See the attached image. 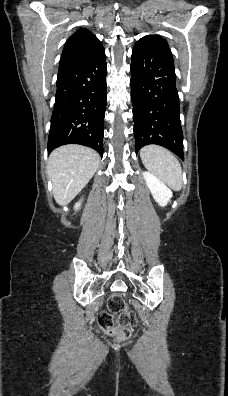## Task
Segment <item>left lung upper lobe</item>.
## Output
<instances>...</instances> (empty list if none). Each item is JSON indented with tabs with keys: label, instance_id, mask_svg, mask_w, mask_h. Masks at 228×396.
<instances>
[{
	"label": "left lung upper lobe",
	"instance_id": "1",
	"mask_svg": "<svg viewBox=\"0 0 228 396\" xmlns=\"http://www.w3.org/2000/svg\"><path fill=\"white\" fill-rule=\"evenodd\" d=\"M140 40H153V41L159 42V43H161V44H163L164 46H166V47L169 48L168 43L166 42V40L163 39V38H162L161 36H159V35H148V36H144V37H142Z\"/></svg>",
	"mask_w": 228,
	"mask_h": 396
}]
</instances>
